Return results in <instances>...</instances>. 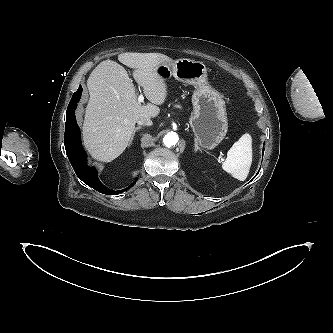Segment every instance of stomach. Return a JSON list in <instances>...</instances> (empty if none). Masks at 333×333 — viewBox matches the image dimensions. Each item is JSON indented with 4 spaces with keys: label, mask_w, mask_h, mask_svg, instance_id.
I'll return each mask as SVG.
<instances>
[{
    "label": "stomach",
    "mask_w": 333,
    "mask_h": 333,
    "mask_svg": "<svg viewBox=\"0 0 333 333\" xmlns=\"http://www.w3.org/2000/svg\"><path fill=\"white\" fill-rule=\"evenodd\" d=\"M155 70L163 80L173 75L176 80L195 86L189 124L199 145L205 149H214L226 136L228 122L225 102L221 94L209 85L205 64L181 58L163 62Z\"/></svg>",
    "instance_id": "obj_1"
}]
</instances>
